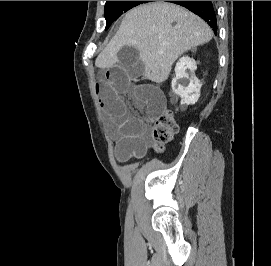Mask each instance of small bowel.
Wrapping results in <instances>:
<instances>
[{
	"label": "small bowel",
	"mask_w": 271,
	"mask_h": 266,
	"mask_svg": "<svg viewBox=\"0 0 271 266\" xmlns=\"http://www.w3.org/2000/svg\"><path fill=\"white\" fill-rule=\"evenodd\" d=\"M143 72L142 64L129 55L122 62L104 68L96 84L101 108L115 129L119 161L141 157L148 143L145 122L128 114L124 97L129 98L137 109L145 108L150 115L158 114L166 103L159 88L135 82Z\"/></svg>",
	"instance_id": "obj_1"
}]
</instances>
